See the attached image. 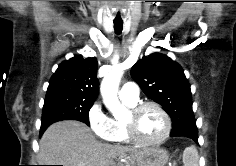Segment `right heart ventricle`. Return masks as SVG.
<instances>
[{
	"mask_svg": "<svg viewBox=\"0 0 236 166\" xmlns=\"http://www.w3.org/2000/svg\"><path fill=\"white\" fill-rule=\"evenodd\" d=\"M123 103L128 107H133L137 102H131L128 100L122 99ZM112 141L119 144H131V140L127 134L125 126L122 120L112 119Z\"/></svg>",
	"mask_w": 236,
	"mask_h": 166,
	"instance_id": "obj_1",
	"label": "right heart ventricle"
}]
</instances>
